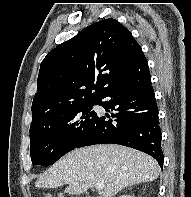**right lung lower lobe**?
<instances>
[{
	"mask_svg": "<svg viewBox=\"0 0 191 197\" xmlns=\"http://www.w3.org/2000/svg\"><path fill=\"white\" fill-rule=\"evenodd\" d=\"M97 105L111 110L110 119L98 116L76 148L114 143L143 151L163 167L161 130L148 65L107 88Z\"/></svg>",
	"mask_w": 191,
	"mask_h": 197,
	"instance_id": "98d812e1",
	"label": "right lung lower lobe"
}]
</instances>
